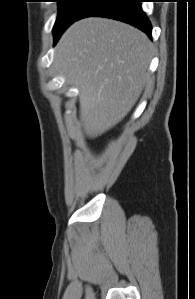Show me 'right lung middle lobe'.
Masks as SVG:
<instances>
[{"instance_id":"1","label":"right lung middle lobe","mask_w":195,"mask_h":299,"mask_svg":"<svg viewBox=\"0 0 195 299\" xmlns=\"http://www.w3.org/2000/svg\"><path fill=\"white\" fill-rule=\"evenodd\" d=\"M92 1L93 0H58L59 14L53 27L55 42Z\"/></svg>"}]
</instances>
